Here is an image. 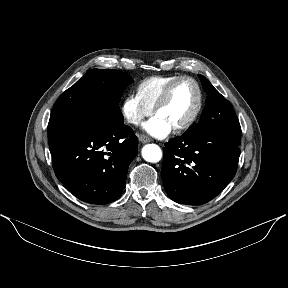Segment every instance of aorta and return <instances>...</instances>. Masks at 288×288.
I'll use <instances>...</instances> for the list:
<instances>
[{
    "label": "aorta",
    "mask_w": 288,
    "mask_h": 288,
    "mask_svg": "<svg viewBox=\"0 0 288 288\" xmlns=\"http://www.w3.org/2000/svg\"><path fill=\"white\" fill-rule=\"evenodd\" d=\"M142 157L147 162L157 163L162 158V151L156 144H147L142 148Z\"/></svg>",
    "instance_id": "762f6f07"
}]
</instances>
